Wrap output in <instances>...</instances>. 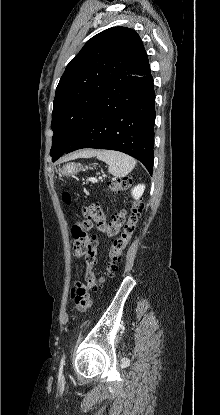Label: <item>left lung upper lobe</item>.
Returning a JSON list of instances; mask_svg holds the SVG:
<instances>
[{"mask_svg":"<svg viewBox=\"0 0 220 415\" xmlns=\"http://www.w3.org/2000/svg\"><path fill=\"white\" fill-rule=\"evenodd\" d=\"M147 65L143 43L132 29L112 27L88 40L69 62L56 88L51 156L71 146L117 78L138 73Z\"/></svg>","mask_w":220,"mask_h":415,"instance_id":"obj_1","label":"left lung upper lobe"}]
</instances>
